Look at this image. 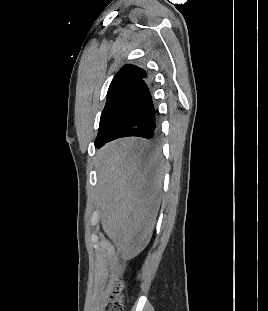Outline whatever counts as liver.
Returning a JSON list of instances; mask_svg holds the SVG:
<instances>
[{"mask_svg": "<svg viewBox=\"0 0 268 311\" xmlns=\"http://www.w3.org/2000/svg\"><path fill=\"white\" fill-rule=\"evenodd\" d=\"M97 208L103 231L125 260L151 239L161 203L163 161L143 139L124 138L97 152Z\"/></svg>", "mask_w": 268, "mask_h": 311, "instance_id": "obj_1", "label": "liver"}]
</instances>
